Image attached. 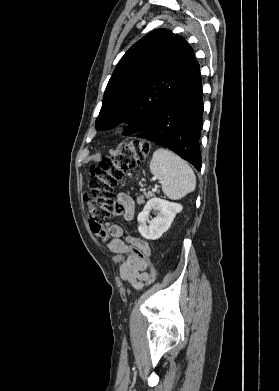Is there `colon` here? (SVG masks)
I'll list each match as a JSON object with an SVG mask.
<instances>
[{
	"mask_svg": "<svg viewBox=\"0 0 279 391\" xmlns=\"http://www.w3.org/2000/svg\"><path fill=\"white\" fill-rule=\"evenodd\" d=\"M149 149L147 142L132 139L112 156L102 159L98 165L91 167L88 182L89 193L85 195L84 200L91 230L101 239L109 238L108 232L103 228L106 219L123 212L122 206L114 198L115 186L126 171L146 160ZM133 252L139 258L147 260L140 250L133 248ZM155 279L156 272L150 262L146 284L152 285Z\"/></svg>",
	"mask_w": 279,
	"mask_h": 391,
	"instance_id": "obj_1",
	"label": "colon"
}]
</instances>
